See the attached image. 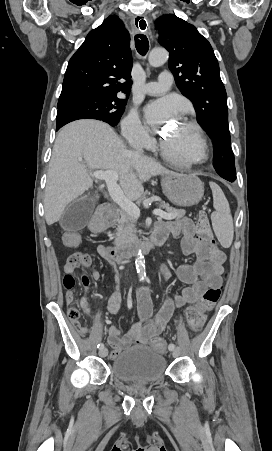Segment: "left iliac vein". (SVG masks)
Listing matches in <instances>:
<instances>
[{
    "label": "left iliac vein",
    "instance_id": "4c4485c4",
    "mask_svg": "<svg viewBox=\"0 0 272 451\" xmlns=\"http://www.w3.org/2000/svg\"><path fill=\"white\" fill-rule=\"evenodd\" d=\"M179 353H180V352H179V349L176 348V349L173 351V354H172V355H173L174 358H176V357L179 356Z\"/></svg>",
    "mask_w": 272,
    "mask_h": 451
}]
</instances>
